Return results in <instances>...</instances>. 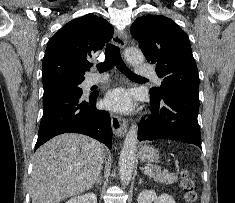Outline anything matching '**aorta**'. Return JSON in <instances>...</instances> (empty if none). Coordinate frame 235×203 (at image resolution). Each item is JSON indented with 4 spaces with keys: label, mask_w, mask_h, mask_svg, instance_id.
<instances>
[{
    "label": "aorta",
    "mask_w": 235,
    "mask_h": 203,
    "mask_svg": "<svg viewBox=\"0 0 235 203\" xmlns=\"http://www.w3.org/2000/svg\"><path fill=\"white\" fill-rule=\"evenodd\" d=\"M124 57L134 66L140 65L144 61V56L141 51L133 48L126 49ZM137 142L138 126L132 124L127 132L119 158V175L120 180L124 185H127L130 182L133 174Z\"/></svg>",
    "instance_id": "1"
}]
</instances>
